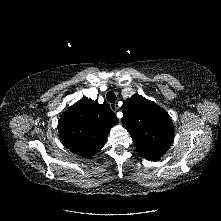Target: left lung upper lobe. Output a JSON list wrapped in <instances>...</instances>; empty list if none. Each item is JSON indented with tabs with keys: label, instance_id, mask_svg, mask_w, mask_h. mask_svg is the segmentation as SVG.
<instances>
[{
	"label": "left lung upper lobe",
	"instance_id": "1",
	"mask_svg": "<svg viewBox=\"0 0 221 221\" xmlns=\"http://www.w3.org/2000/svg\"><path fill=\"white\" fill-rule=\"evenodd\" d=\"M122 123L138 152L147 160L160 158L170 147L174 129L168 113L154 102L133 95L122 106Z\"/></svg>",
	"mask_w": 221,
	"mask_h": 221
}]
</instances>
